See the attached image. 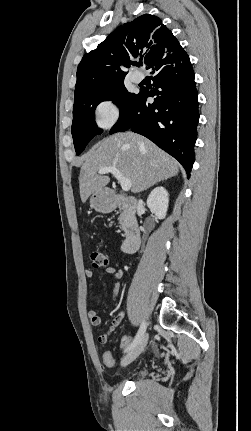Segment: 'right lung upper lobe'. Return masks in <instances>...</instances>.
I'll return each instance as SVG.
<instances>
[{"mask_svg": "<svg viewBox=\"0 0 251 431\" xmlns=\"http://www.w3.org/2000/svg\"><path fill=\"white\" fill-rule=\"evenodd\" d=\"M180 46L172 32L154 15L144 14L112 32L86 53L77 69L75 96L124 80V69L144 58L146 67Z\"/></svg>", "mask_w": 251, "mask_h": 431, "instance_id": "1", "label": "right lung upper lobe"}]
</instances>
